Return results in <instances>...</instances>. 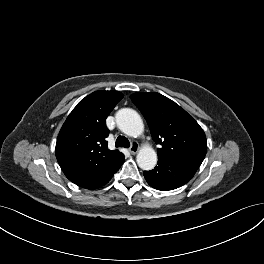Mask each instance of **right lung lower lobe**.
Returning <instances> with one entry per match:
<instances>
[{
  "label": "right lung lower lobe",
  "mask_w": 264,
  "mask_h": 264,
  "mask_svg": "<svg viewBox=\"0 0 264 264\" xmlns=\"http://www.w3.org/2000/svg\"><path fill=\"white\" fill-rule=\"evenodd\" d=\"M124 160L125 158L124 155L122 154L120 157H118L116 160H114L112 163H110L108 166H106L98 173L75 184L86 189L100 188L109 182V180L112 178L114 173H116L119 170Z\"/></svg>",
  "instance_id": "right-lung-lower-lobe-1"
}]
</instances>
